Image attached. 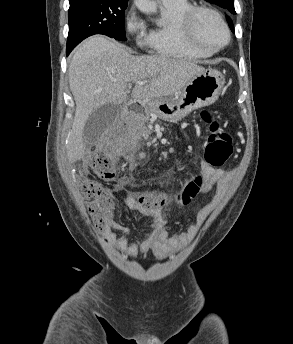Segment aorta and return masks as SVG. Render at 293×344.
Segmentation results:
<instances>
[{
  "label": "aorta",
  "mask_w": 293,
  "mask_h": 344,
  "mask_svg": "<svg viewBox=\"0 0 293 344\" xmlns=\"http://www.w3.org/2000/svg\"><path fill=\"white\" fill-rule=\"evenodd\" d=\"M137 8L145 14H153L157 11V4L152 0H134Z\"/></svg>",
  "instance_id": "762f6f07"
}]
</instances>
